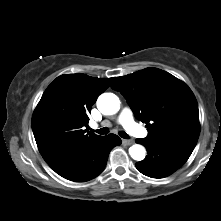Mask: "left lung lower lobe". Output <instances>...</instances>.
Returning <instances> with one entry per match:
<instances>
[{"label":"left lung lower lobe","mask_w":221,"mask_h":221,"mask_svg":"<svg viewBox=\"0 0 221 221\" xmlns=\"http://www.w3.org/2000/svg\"><path fill=\"white\" fill-rule=\"evenodd\" d=\"M137 143L146 147L148 155L136 163V168L151 178H164L179 169L189 158L197 140L178 138L165 141L137 139Z\"/></svg>","instance_id":"obj_1"}]
</instances>
